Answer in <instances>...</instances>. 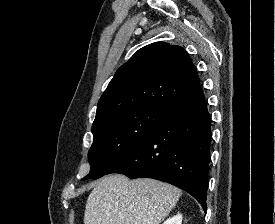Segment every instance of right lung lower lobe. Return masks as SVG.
Wrapping results in <instances>:
<instances>
[{"label":"right lung lower lobe","mask_w":275,"mask_h":224,"mask_svg":"<svg viewBox=\"0 0 275 224\" xmlns=\"http://www.w3.org/2000/svg\"><path fill=\"white\" fill-rule=\"evenodd\" d=\"M211 117L198 84L169 107L148 136L110 173L153 178L188 192L207 211Z\"/></svg>","instance_id":"98d812e1"}]
</instances>
